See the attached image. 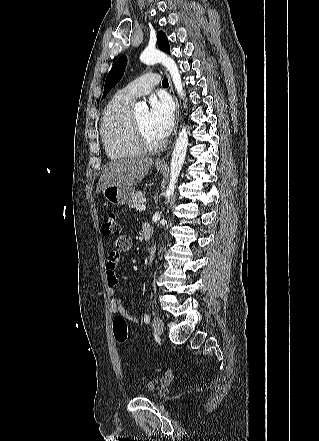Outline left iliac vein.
Masks as SVG:
<instances>
[{"mask_svg": "<svg viewBox=\"0 0 319 441\" xmlns=\"http://www.w3.org/2000/svg\"><path fill=\"white\" fill-rule=\"evenodd\" d=\"M152 327L155 334L161 335L164 329V324L162 319L158 316H155L153 318Z\"/></svg>", "mask_w": 319, "mask_h": 441, "instance_id": "obj_1", "label": "left iliac vein"}]
</instances>
